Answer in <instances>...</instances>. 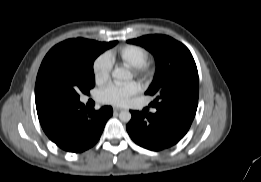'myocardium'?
Returning a JSON list of instances; mask_svg holds the SVG:
<instances>
[{
  "mask_svg": "<svg viewBox=\"0 0 261 182\" xmlns=\"http://www.w3.org/2000/svg\"><path fill=\"white\" fill-rule=\"evenodd\" d=\"M131 69L133 75L143 82H148L152 78L155 70L152 63L148 61Z\"/></svg>",
  "mask_w": 261,
  "mask_h": 182,
  "instance_id": "f54148a6",
  "label": "myocardium"
}]
</instances>
